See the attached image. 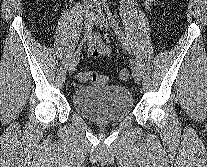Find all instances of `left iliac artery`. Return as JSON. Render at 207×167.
<instances>
[{
	"mask_svg": "<svg viewBox=\"0 0 207 167\" xmlns=\"http://www.w3.org/2000/svg\"><path fill=\"white\" fill-rule=\"evenodd\" d=\"M105 10L107 11V17L108 20L112 26V28L114 29L115 33L117 34L120 42L122 43V45L124 46V48L131 53L130 51V47L128 44V41L126 40L124 33L122 32L121 28L119 27L117 21L115 20V18L113 17L112 13L109 10V7L107 4H104Z\"/></svg>",
	"mask_w": 207,
	"mask_h": 167,
	"instance_id": "obj_1",
	"label": "left iliac artery"
}]
</instances>
